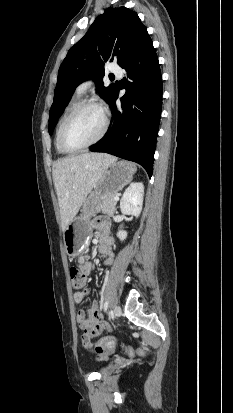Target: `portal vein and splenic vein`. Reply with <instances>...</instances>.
<instances>
[{
  "instance_id": "18ae733b",
  "label": "portal vein and splenic vein",
  "mask_w": 233,
  "mask_h": 413,
  "mask_svg": "<svg viewBox=\"0 0 233 413\" xmlns=\"http://www.w3.org/2000/svg\"><path fill=\"white\" fill-rule=\"evenodd\" d=\"M114 200H115V201H118V200H119V197H118V196H115V197H114Z\"/></svg>"
}]
</instances>
